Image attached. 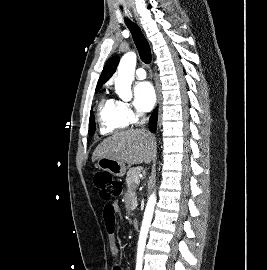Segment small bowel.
Masks as SVG:
<instances>
[{
    "instance_id": "obj_1",
    "label": "small bowel",
    "mask_w": 267,
    "mask_h": 270,
    "mask_svg": "<svg viewBox=\"0 0 267 270\" xmlns=\"http://www.w3.org/2000/svg\"><path fill=\"white\" fill-rule=\"evenodd\" d=\"M118 214H119V207L116 203H109L105 205L103 216H104L106 227L109 232L108 242H109V249L113 255V262H112L113 270H123L115 257L117 253V246H116V239L113 232H114V227H115L116 216Z\"/></svg>"
}]
</instances>
